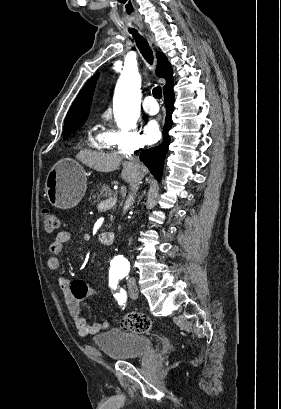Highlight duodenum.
<instances>
[{"label":"duodenum","mask_w":281,"mask_h":409,"mask_svg":"<svg viewBox=\"0 0 281 409\" xmlns=\"http://www.w3.org/2000/svg\"><path fill=\"white\" fill-rule=\"evenodd\" d=\"M114 239V234L111 232H104L99 235V241L103 245H110L112 244Z\"/></svg>","instance_id":"obj_1"}]
</instances>
